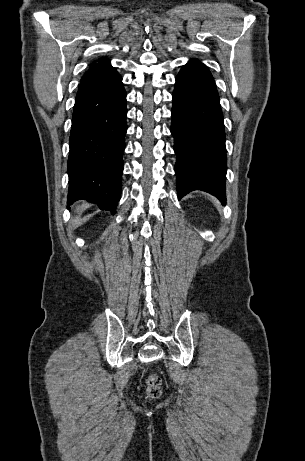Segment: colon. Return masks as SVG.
Instances as JSON below:
<instances>
[{
	"label": "colon",
	"mask_w": 305,
	"mask_h": 461,
	"mask_svg": "<svg viewBox=\"0 0 305 461\" xmlns=\"http://www.w3.org/2000/svg\"><path fill=\"white\" fill-rule=\"evenodd\" d=\"M146 384H147V394L151 398H157L160 396L162 380L158 374H155V373L149 374L146 379Z\"/></svg>",
	"instance_id": "obj_1"
}]
</instances>
